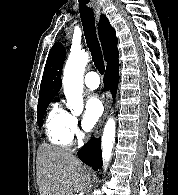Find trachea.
Returning <instances> with one entry per match:
<instances>
[{"label": "trachea", "mask_w": 178, "mask_h": 195, "mask_svg": "<svg viewBox=\"0 0 178 195\" xmlns=\"http://www.w3.org/2000/svg\"><path fill=\"white\" fill-rule=\"evenodd\" d=\"M80 17L87 46L92 55L95 67L101 75L105 72L103 56L96 35L95 18L93 9L89 6V0H78Z\"/></svg>", "instance_id": "trachea-1"}]
</instances>
